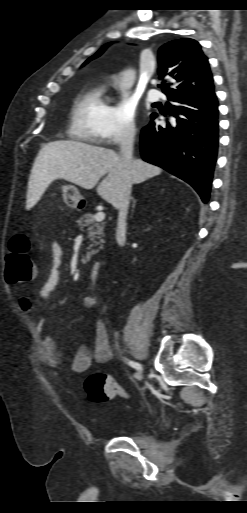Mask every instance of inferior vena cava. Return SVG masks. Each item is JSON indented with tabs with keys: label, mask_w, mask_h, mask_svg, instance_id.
Returning a JSON list of instances; mask_svg holds the SVG:
<instances>
[{
	"label": "inferior vena cava",
	"mask_w": 247,
	"mask_h": 513,
	"mask_svg": "<svg viewBox=\"0 0 247 513\" xmlns=\"http://www.w3.org/2000/svg\"><path fill=\"white\" fill-rule=\"evenodd\" d=\"M135 131L133 129L126 130L120 141V153L123 157L125 168L131 172L133 169V147H134ZM131 184L126 182L120 187L117 199L112 205L118 209V229L117 242L123 246L125 238V221L130 203Z\"/></svg>",
	"instance_id": "obj_1"
}]
</instances>
